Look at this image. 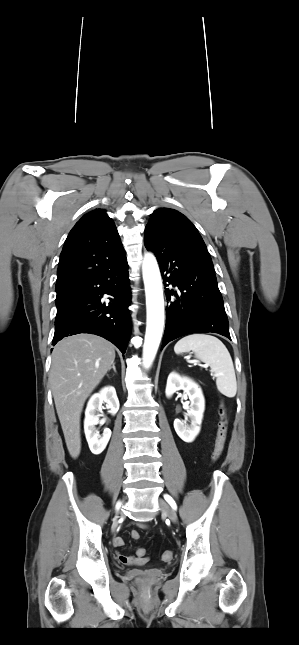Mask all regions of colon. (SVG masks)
Masks as SVG:
<instances>
[{
    "instance_id": "5ec220e1",
    "label": "colon",
    "mask_w": 299,
    "mask_h": 645,
    "mask_svg": "<svg viewBox=\"0 0 299 645\" xmlns=\"http://www.w3.org/2000/svg\"><path fill=\"white\" fill-rule=\"evenodd\" d=\"M219 413H220V422H219V425H218L217 436H216V440H215L214 450H213V453H212V461L213 462H216L220 458V456H221V454H222V452L224 450L225 441H226V435H227V417H226V409H225L224 405L220 406V412ZM131 536H132V538L134 540H137V539H139L140 534L137 531H133L131 533ZM136 554H137V556L139 558H145L146 550L144 548H138L137 551H136ZM172 558H173V552L172 551L166 550V551L163 552L162 559L164 561H170V560H172Z\"/></svg>"
}]
</instances>
